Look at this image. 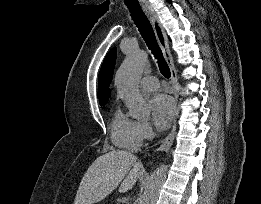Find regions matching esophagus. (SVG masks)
Here are the masks:
<instances>
[{
  "label": "esophagus",
  "mask_w": 261,
  "mask_h": 204,
  "mask_svg": "<svg viewBox=\"0 0 261 204\" xmlns=\"http://www.w3.org/2000/svg\"><path fill=\"white\" fill-rule=\"evenodd\" d=\"M142 9H143L144 13L146 14L147 18L149 19L150 23L152 24L157 41L162 49L164 58L170 68L171 82H172V86H173V90H174V96H175L176 101H178L179 95H178V91H177V87H176L177 71H176V68L173 63V58H172V55L170 52V48H169V44H168V40H167L165 31L162 27V24L159 21L158 16L156 15V13L154 12V10L152 9L151 6L144 4V5H142ZM177 114H178V110L176 112V115ZM175 131H176V120L174 121L172 130L170 131L168 136L163 140L162 144L157 148V151L166 152L170 149V147L172 146L173 141H174Z\"/></svg>",
  "instance_id": "esophagus-1"
}]
</instances>
